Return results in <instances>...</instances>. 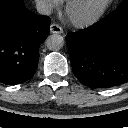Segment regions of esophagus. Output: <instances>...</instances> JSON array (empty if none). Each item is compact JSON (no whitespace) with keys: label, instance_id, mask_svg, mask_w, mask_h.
I'll list each match as a JSON object with an SVG mask.
<instances>
[{"label":"esophagus","instance_id":"34e87169","mask_svg":"<svg viewBox=\"0 0 128 128\" xmlns=\"http://www.w3.org/2000/svg\"><path fill=\"white\" fill-rule=\"evenodd\" d=\"M50 32L53 34H61L63 33V29L58 24L52 23L50 25Z\"/></svg>","mask_w":128,"mask_h":128}]
</instances>
